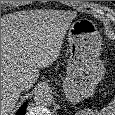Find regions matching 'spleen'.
Masks as SVG:
<instances>
[{
  "mask_svg": "<svg viewBox=\"0 0 115 115\" xmlns=\"http://www.w3.org/2000/svg\"><path fill=\"white\" fill-rule=\"evenodd\" d=\"M75 115H115V97L107 107L102 108V110L97 114H94L91 109H85L81 112H76Z\"/></svg>",
  "mask_w": 115,
  "mask_h": 115,
  "instance_id": "1",
  "label": "spleen"
}]
</instances>
